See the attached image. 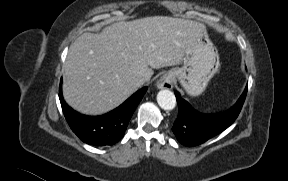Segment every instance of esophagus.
<instances>
[{
	"label": "esophagus",
	"mask_w": 288,
	"mask_h": 181,
	"mask_svg": "<svg viewBox=\"0 0 288 181\" xmlns=\"http://www.w3.org/2000/svg\"><path fill=\"white\" fill-rule=\"evenodd\" d=\"M173 77L171 75L162 76L156 83L159 89H171L173 87Z\"/></svg>",
	"instance_id": "obj_1"
}]
</instances>
